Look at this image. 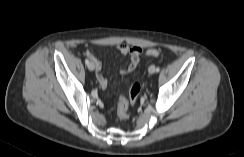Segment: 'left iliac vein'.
<instances>
[{
    "label": "left iliac vein",
    "instance_id": "1",
    "mask_svg": "<svg viewBox=\"0 0 244 157\" xmlns=\"http://www.w3.org/2000/svg\"><path fill=\"white\" fill-rule=\"evenodd\" d=\"M149 73L150 74H153L155 72V66L154 65H151L148 69Z\"/></svg>",
    "mask_w": 244,
    "mask_h": 157
}]
</instances>
